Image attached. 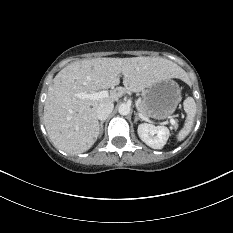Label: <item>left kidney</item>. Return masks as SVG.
<instances>
[{
    "mask_svg": "<svg viewBox=\"0 0 233 233\" xmlns=\"http://www.w3.org/2000/svg\"><path fill=\"white\" fill-rule=\"evenodd\" d=\"M140 139L153 149H161L166 144L170 132L167 127L142 123L137 129Z\"/></svg>",
    "mask_w": 233,
    "mask_h": 233,
    "instance_id": "left-kidney-1",
    "label": "left kidney"
}]
</instances>
